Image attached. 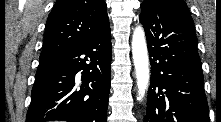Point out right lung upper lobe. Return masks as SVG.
Returning <instances> with one entry per match:
<instances>
[{
  "label": "right lung upper lobe",
  "instance_id": "1",
  "mask_svg": "<svg viewBox=\"0 0 221 122\" xmlns=\"http://www.w3.org/2000/svg\"><path fill=\"white\" fill-rule=\"evenodd\" d=\"M104 0H57L48 16L40 61L103 34L109 27Z\"/></svg>",
  "mask_w": 221,
  "mask_h": 122
}]
</instances>
